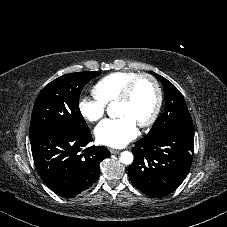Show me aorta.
Returning <instances> with one entry per match:
<instances>
[{
  "label": "aorta",
  "instance_id": "762f6f07",
  "mask_svg": "<svg viewBox=\"0 0 227 227\" xmlns=\"http://www.w3.org/2000/svg\"><path fill=\"white\" fill-rule=\"evenodd\" d=\"M107 111H108V114L111 115L110 108H108ZM120 161L126 165L131 164L133 162V154L129 151L122 152L120 155Z\"/></svg>",
  "mask_w": 227,
  "mask_h": 227
}]
</instances>
